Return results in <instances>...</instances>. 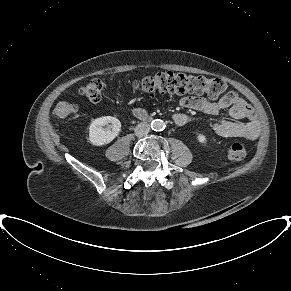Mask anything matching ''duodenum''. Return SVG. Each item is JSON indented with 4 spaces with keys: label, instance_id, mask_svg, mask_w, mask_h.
<instances>
[{
    "label": "duodenum",
    "instance_id": "duodenum-1",
    "mask_svg": "<svg viewBox=\"0 0 291 291\" xmlns=\"http://www.w3.org/2000/svg\"><path fill=\"white\" fill-rule=\"evenodd\" d=\"M133 114L140 120L147 121L151 119V116L144 109L137 108L133 111Z\"/></svg>",
    "mask_w": 291,
    "mask_h": 291
}]
</instances>
